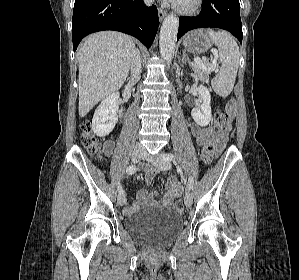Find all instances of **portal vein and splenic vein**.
Here are the masks:
<instances>
[{"instance_id": "18ae733b", "label": "portal vein and splenic vein", "mask_w": 299, "mask_h": 280, "mask_svg": "<svg viewBox=\"0 0 299 280\" xmlns=\"http://www.w3.org/2000/svg\"><path fill=\"white\" fill-rule=\"evenodd\" d=\"M194 64L198 65L199 68L207 72H212L216 68V63H212L210 66L207 67L206 65L203 64L201 59L198 57L194 58Z\"/></svg>"}]
</instances>
